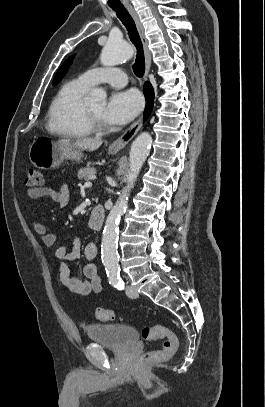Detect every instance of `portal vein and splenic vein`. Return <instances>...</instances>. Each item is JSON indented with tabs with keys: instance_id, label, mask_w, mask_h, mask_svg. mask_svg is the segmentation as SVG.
<instances>
[{
	"instance_id": "portal-vein-and-splenic-vein-1",
	"label": "portal vein and splenic vein",
	"mask_w": 265,
	"mask_h": 407,
	"mask_svg": "<svg viewBox=\"0 0 265 407\" xmlns=\"http://www.w3.org/2000/svg\"><path fill=\"white\" fill-rule=\"evenodd\" d=\"M92 183L91 182H85L84 187H91Z\"/></svg>"
}]
</instances>
